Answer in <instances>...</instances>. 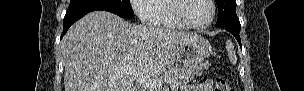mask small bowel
I'll return each instance as SVG.
<instances>
[{
	"label": "small bowel",
	"mask_w": 304,
	"mask_h": 91,
	"mask_svg": "<svg viewBox=\"0 0 304 91\" xmlns=\"http://www.w3.org/2000/svg\"><path fill=\"white\" fill-rule=\"evenodd\" d=\"M185 90L186 91H210L211 82L209 80L203 81V82L195 84V85H190Z\"/></svg>",
	"instance_id": "c3829d8e"
}]
</instances>
